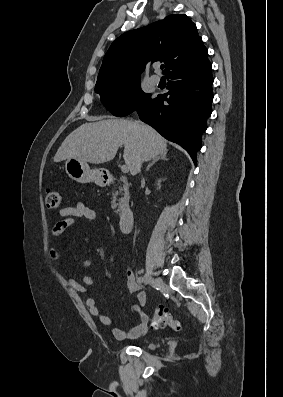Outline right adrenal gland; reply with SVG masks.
<instances>
[{
	"label": "right adrenal gland",
	"instance_id": "1",
	"mask_svg": "<svg viewBox=\"0 0 283 397\" xmlns=\"http://www.w3.org/2000/svg\"><path fill=\"white\" fill-rule=\"evenodd\" d=\"M166 155H167V152H164V153L158 155L157 157H155L152 160V162L147 166L146 171H148L150 169V167L153 166L158 160H160V159L165 160V161L168 160Z\"/></svg>",
	"mask_w": 283,
	"mask_h": 397
}]
</instances>
